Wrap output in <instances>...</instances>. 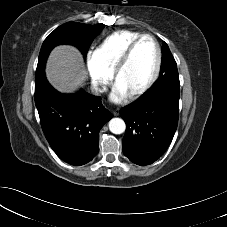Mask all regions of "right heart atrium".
<instances>
[{
	"mask_svg": "<svg viewBox=\"0 0 227 227\" xmlns=\"http://www.w3.org/2000/svg\"><path fill=\"white\" fill-rule=\"evenodd\" d=\"M86 68L92 87L97 92H104L111 80V73L106 70L94 53L86 57Z\"/></svg>",
	"mask_w": 227,
	"mask_h": 227,
	"instance_id": "1",
	"label": "right heart atrium"
}]
</instances>
